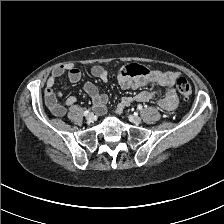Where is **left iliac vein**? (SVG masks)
<instances>
[{
	"label": "left iliac vein",
	"instance_id": "1",
	"mask_svg": "<svg viewBox=\"0 0 224 224\" xmlns=\"http://www.w3.org/2000/svg\"><path fill=\"white\" fill-rule=\"evenodd\" d=\"M129 121L135 123V124H140L141 123V118L135 115H129L128 116Z\"/></svg>",
	"mask_w": 224,
	"mask_h": 224
}]
</instances>
